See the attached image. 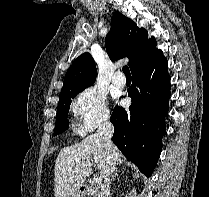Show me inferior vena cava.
<instances>
[{
    "label": "inferior vena cava",
    "instance_id": "1",
    "mask_svg": "<svg viewBox=\"0 0 209 197\" xmlns=\"http://www.w3.org/2000/svg\"><path fill=\"white\" fill-rule=\"evenodd\" d=\"M114 126L109 120H105L97 129V135L103 140L107 149V164L103 170V184L99 197H108L110 192V181L113 172L115 171V147L111 141L113 136Z\"/></svg>",
    "mask_w": 209,
    "mask_h": 197
}]
</instances>
